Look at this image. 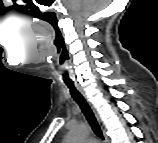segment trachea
Masks as SVG:
<instances>
[{"label":"trachea","instance_id":"obj_1","mask_svg":"<svg viewBox=\"0 0 158 143\" xmlns=\"http://www.w3.org/2000/svg\"><path fill=\"white\" fill-rule=\"evenodd\" d=\"M67 87L70 90V93L73 97V99L77 102V104L80 106L82 112L84 113L87 121L89 122L90 126L92 127L94 133L100 137L101 139H104L102 135L101 128L96 120V117L87 103L86 99L83 97V95L76 89L73 83H66Z\"/></svg>","mask_w":158,"mask_h":143}]
</instances>
